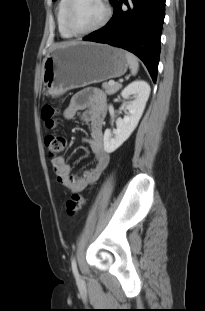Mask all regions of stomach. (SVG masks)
<instances>
[{
	"mask_svg": "<svg viewBox=\"0 0 205 311\" xmlns=\"http://www.w3.org/2000/svg\"><path fill=\"white\" fill-rule=\"evenodd\" d=\"M126 52L106 44L76 42L54 47L42 66L43 92L59 97L67 91L125 74Z\"/></svg>",
	"mask_w": 205,
	"mask_h": 311,
	"instance_id": "obj_1",
	"label": "stomach"
}]
</instances>
